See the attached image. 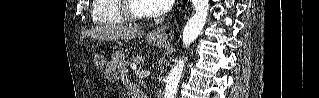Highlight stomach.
<instances>
[{"label": "stomach", "mask_w": 319, "mask_h": 98, "mask_svg": "<svg viewBox=\"0 0 319 98\" xmlns=\"http://www.w3.org/2000/svg\"><path fill=\"white\" fill-rule=\"evenodd\" d=\"M151 44L155 47L161 48L164 47L166 45V42L164 39H159V38H152L150 40ZM106 76L109 80H115V71L113 69L108 70L106 73Z\"/></svg>", "instance_id": "0dacf381"}]
</instances>
